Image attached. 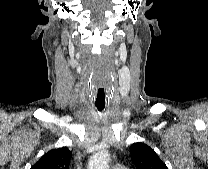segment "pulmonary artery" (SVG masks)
<instances>
[{"label":"pulmonary artery","instance_id":"1","mask_svg":"<svg viewBox=\"0 0 208 169\" xmlns=\"http://www.w3.org/2000/svg\"><path fill=\"white\" fill-rule=\"evenodd\" d=\"M112 169H127V167L123 164H116L112 167Z\"/></svg>","mask_w":208,"mask_h":169}]
</instances>
